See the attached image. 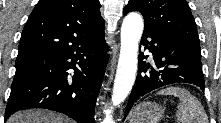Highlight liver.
Wrapping results in <instances>:
<instances>
[{"label": "liver", "instance_id": "liver-1", "mask_svg": "<svg viewBox=\"0 0 221 123\" xmlns=\"http://www.w3.org/2000/svg\"><path fill=\"white\" fill-rule=\"evenodd\" d=\"M7 123H69V120L54 112L32 109L16 112Z\"/></svg>", "mask_w": 221, "mask_h": 123}]
</instances>
